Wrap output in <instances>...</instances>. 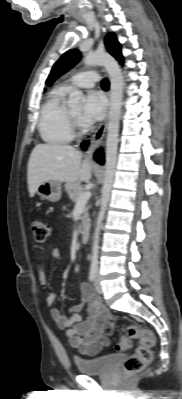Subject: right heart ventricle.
<instances>
[{"label": "right heart ventricle", "mask_w": 182, "mask_h": 399, "mask_svg": "<svg viewBox=\"0 0 182 399\" xmlns=\"http://www.w3.org/2000/svg\"><path fill=\"white\" fill-rule=\"evenodd\" d=\"M67 89H54L44 102L38 129L42 139L50 144H64L73 139L69 120V109L65 104Z\"/></svg>", "instance_id": "right-heart-ventricle-1"}]
</instances>
